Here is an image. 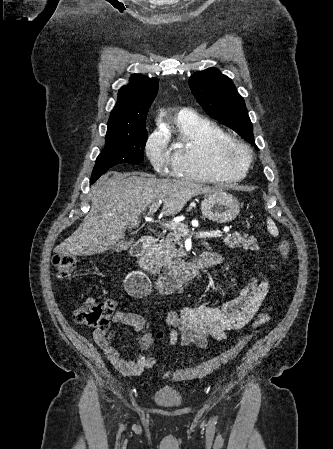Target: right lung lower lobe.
Instances as JSON below:
<instances>
[{"label":"right lung lower lobe","mask_w":333,"mask_h":449,"mask_svg":"<svg viewBox=\"0 0 333 449\" xmlns=\"http://www.w3.org/2000/svg\"><path fill=\"white\" fill-rule=\"evenodd\" d=\"M97 179H91L90 184H93Z\"/></svg>","instance_id":"right-lung-lower-lobe-1"}]
</instances>
